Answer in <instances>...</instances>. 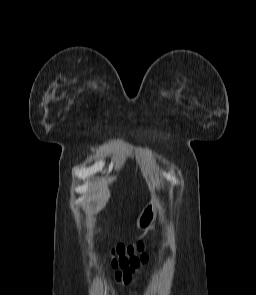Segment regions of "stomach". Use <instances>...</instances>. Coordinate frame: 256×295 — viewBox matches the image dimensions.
I'll list each match as a JSON object with an SVG mask.
<instances>
[{
	"instance_id": "obj_1",
	"label": "stomach",
	"mask_w": 256,
	"mask_h": 295,
	"mask_svg": "<svg viewBox=\"0 0 256 295\" xmlns=\"http://www.w3.org/2000/svg\"><path fill=\"white\" fill-rule=\"evenodd\" d=\"M158 201L152 199L149 204L142 210L137 218L136 225L140 229H146L151 226L156 218Z\"/></svg>"
}]
</instances>
